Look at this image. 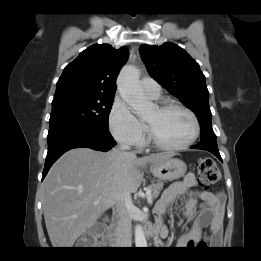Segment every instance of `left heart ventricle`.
<instances>
[{
    "mask_svg": "<svg viewBox=\"0 0 261 261\" xmlns=\"http://www.w3.org/2000/svg\"><path fill=\"white\" fill-rule=\"evenodd\" d=\"M155 137L162 143L177 145L184 143L193 132L191 118L180 109H170L160 112L154 107L144 116Z\"/></svg>",
    "mask_w": 261,
    "mask_h": 261,
    "instance_id": "left-heart-ventricle-1",
    "label": "left heart ventricle"
}]
</instances>
